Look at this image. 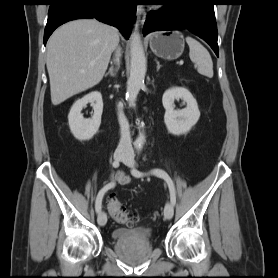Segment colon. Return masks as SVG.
<instances>
[{"instance_id": "colon-1", "label": "colon", "mask_w": 278, "mask_h": 278, "mask_svg": "<svg viewBox=\"0 0 278 278\" xmlns=\"http://www.w3.org/2000/svg\"><path fill=\"white\" fill-rule=\"evenodd\" d=\"M108 210L110 215L121 224L131 226L139 221L137 213L125 208L123 204L114 197L108 199Z\"/></svg>"}]
</instances>
